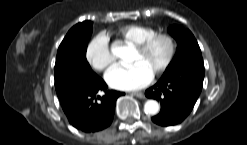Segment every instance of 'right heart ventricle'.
Listing matches in <instances>:
<instances>
[{
  "label": "right heart ventricle",
  "mask_w": 247,
  "mask_h": 145,
  "mask_svg": "<svg viewBox=\"0 0 247 145\" xmlns=\"http://www.w3.org/2000/svg\"><path fill=\"white\" fill-rule=\"evenodd\" d=\"M156 32V29L150 26L130 24L118 28L115 34L123 41L135 46Z\"/></svg>",
  "instance_id": "1"
}]
</instances>
